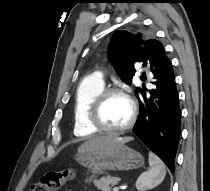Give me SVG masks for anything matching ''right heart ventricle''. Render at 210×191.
<instances>
[{
  "mask_svg": "<svg viewBox=\"0 0 210 191\" xmlns=\"http://www.w3.org/2000/svg\"><path fill=\"white\" fill-rule=\"evenodd\" d=\"M104 89V83L92 78L84 79L78 86L74 106V134L89 137L98 132L87 119L93 99Z\"/></svg>",
  "mask_w": 210,
  "mask_h": 191,
  "instance_id": "e07e8e85",
  "label": "right heart ventricle"
}]
</instances>
